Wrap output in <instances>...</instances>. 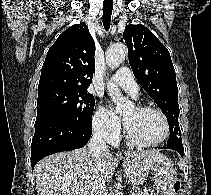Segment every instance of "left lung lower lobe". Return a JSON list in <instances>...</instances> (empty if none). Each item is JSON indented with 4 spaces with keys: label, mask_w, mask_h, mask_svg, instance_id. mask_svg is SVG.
<instances>
[{
    "label": "left lung lower lobe",
    "mask_w": 211,
    "mask_h": 195,
    "mask_svg": "<svg viewBox=\"0 0 211 195\" xmlns=\"http://www.w3.org/2000/svg\"><path fill=\"white\" fill-rule=\"evenodd\" d=\"M162 148L173 149V150L177 151L181 156H184L183 144L173 145V146L167 145V146H164Z\"/></svg>",
    "instance_id": "0a47b994"
}]
</instances>
